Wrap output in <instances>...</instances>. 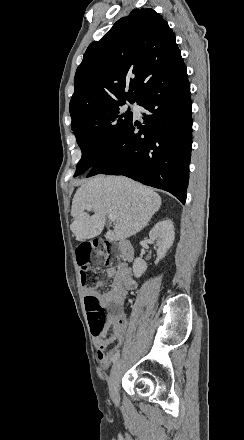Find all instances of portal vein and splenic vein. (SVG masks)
<instances>
[{"label": "portal vein and splenic vein", "instance_id": "portal-vein-and-splenic-vein-1", "mask_svg": "<svg viewBox=\"0 0 244 440\" xmlns=\"http://www.w3.org/2000/svg\"><path fill=\"white\" fill-rule=\"evenodd\" d=\"M91 206H88V210H90ZM108 218L110 220V222H115L116 220V216H114V214H108Z\"/></svg>", "mask_w": 244, "mask_h": 440}]
</instances>
